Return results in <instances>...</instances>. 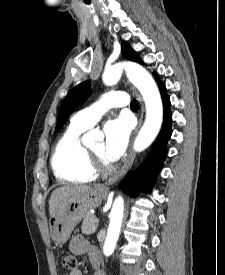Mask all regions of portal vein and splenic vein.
<instances>
[{"label": "portal vein and splenic vein", "instance_id": "1", "mask_svg": "<svg viewBox=\"0 0 225 275\" xmlns=\"http://www.w3.org/2000/svg\"><path fill=\"white\" fill-rule=\"evenodd\" d=\"M94 222H95V223H98V222H99V219H98V218H95V219H94Z\"/></svg>", "mask_w": 225, "mask_h": 275}]
</instances>
